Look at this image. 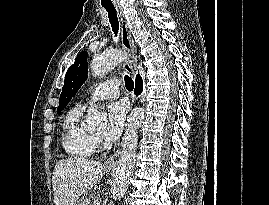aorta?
<instances>
[{
  "mask_svg": "<svg viewBox=\"0 0 269 205\" xmlns=\"http://www.w3.org/2000/svg\"><path fill=\"white\" fill-rule=\"evenodd\" d=\"M124 54L118 50H110L97 55L92 59L91 71L95 77H103L112 68L124 59ZM145 117L144 109L136 107L129 115L124 135L121 156L116 168L115 178L111 187L114 200H120L129 186V180L134 169L136 148L138 142V129ZM103 117L100 112L90 107L87 111V124L95 126L101 123Z\"/></svg>",
  "mask_w": 269,
  "mask_h": 205,
  "instance_id": "1",
  "label": "aorta"
}]
</instances>
